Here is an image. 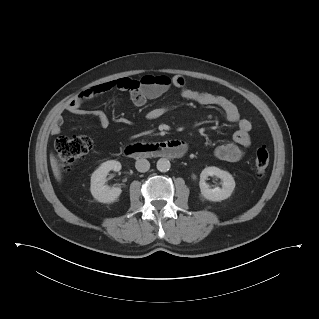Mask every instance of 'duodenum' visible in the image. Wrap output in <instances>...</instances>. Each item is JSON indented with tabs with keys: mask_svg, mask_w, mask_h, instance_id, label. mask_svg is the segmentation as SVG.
I'll use <instances>...</instances> for the list:
<instances>
[{
	"mask_svg": "<svg viewBox=\"0 0 319 319\" xmlns=\"http://www.w3.org/2000/svg\"><path fill=\"white\" fill-rule=\"evenodd\" d=\"M185 144L178 140H167L158 143H137L124 149V155L135 158L162 157L178 159L184 155Z\"/></svg>",
	"mask_w": 319,
	"mask_h": 319,
	"instance_id": "duodenum-1",
	"label": "duodenum"
}]
</instances>
